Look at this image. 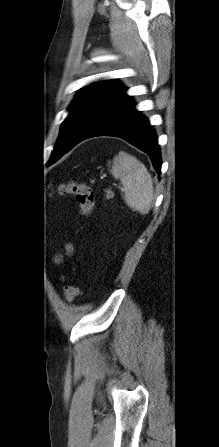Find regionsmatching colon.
<instances>
[{
	"label": "colon",
	"mask_w": 219,
	"mask_h": 447,
	"mask_svg": "<svg viewBox=\"0 0 219 447\" xmlns=\"http://www.w3.org/2000/svg\"><path fill=\"white\" fill-rule=\"evenodd\" d=\"M59 195H73L79 205L81 215L89 216L95 203L93 189L86 183L70 180L58 185L56 189ZM65 299L67 302H73L79 295V288L73 283H67L64 287Z\"/></svg>",
	"instance_id": "obj_1"
}]
</instances>
